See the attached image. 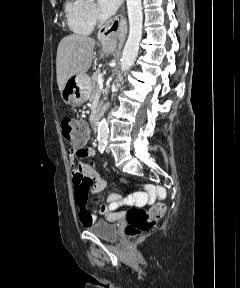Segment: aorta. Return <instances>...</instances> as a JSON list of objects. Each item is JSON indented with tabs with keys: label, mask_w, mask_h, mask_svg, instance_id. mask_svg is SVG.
I'll list each match as a JSON object with an SVG mask.
<instances>
[{
	"label": "aorta",
	"mask_w": 240,
	"mask_h": 288,
	"mask_svg": "<svg viewBox=\"0 0 240 288\" xmlns=\"http://www.w3.org/2000/svg\"><path fill=\"white\" fill-rule=\"evenodd\" d=\"M129 19V35L123 49L121 70H128L133 64L139 51L142 38L143 12L141 0H126ZM109 128L105 118L98 125V140L104 142L108 138Z\"/></svg>",
	"instance_id": "762f6f07"
}]
</instances>
